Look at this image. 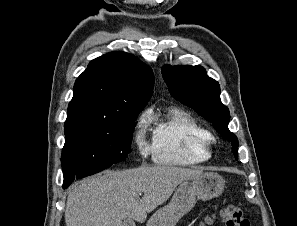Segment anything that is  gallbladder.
Returning a JSON list of instances; mask_svg holds the SVG:
<instances>
[{
  "label": "gallbladder",
  "mask_w": 297,
  "mask_h": 226,
  "mask_svg": "<svg viewBox=\"0 0 297 226\" xmlns=\"http://www.w3.org/2000/svg\"><path fill=\"white\" fill-rule=\"evenodd\" d=\"M123 226H135V222L133 219L126 218L123 222Z\"/></svg>",
  "instance_id": "bac80fb5"
}]
</instances>
